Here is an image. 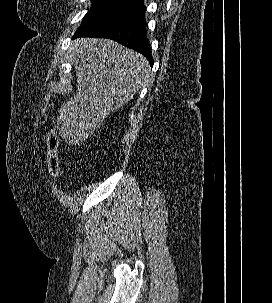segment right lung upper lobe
<instances>
[{"label": "right lung upper lobe", "instance_id": "cb5924a9", "mask_svg": "<svg viewBox=\"0 0 272 303\" xmlns=\"http://www.w3.org/2000/svg\"><path fill=\"white\" fill-rule=\"evenodd\" d=\"M112 1L127 2V3L133 4V5H137L140 9L145 10L143 0H112Z\"/></svg>", "mask_w": 272, "mask_h": 303}]
</instances>
